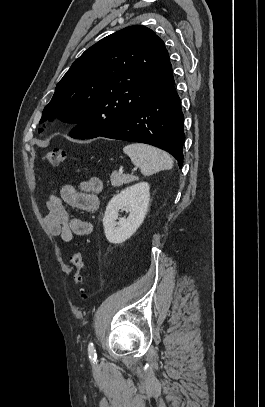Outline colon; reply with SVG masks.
<instances>
[{"mask_svg":"<svg viewBox=\"0 0 265 407\" xmlns=\"http://www.w3.org/2000/svg\"><path fill=\"white\" fill-rule=\"evenodd\" d=\"M66 151L60 148H55L52 150H49L45 153L44 155V160L50 165L53 166H58L62 164L65 159H66ZM70 261L74 267V284L79 290L80 296L82 299L87 298V294L84 290V285L86 284V277L82 273V269L84 266V260H83V255L81 252H76L74 253Z\"/></svg>","mask_w":265,"mask_h":407,"instance_id":"colon-1","label":"colon"}]
</instances>
